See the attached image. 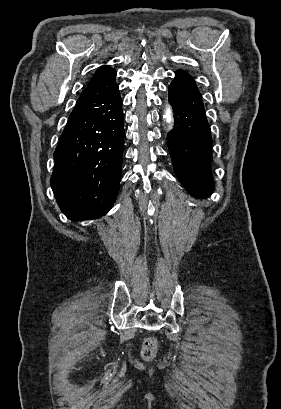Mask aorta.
<instances>
[{
    "instance_id": "762f6f07",
    "label": "aorta",
    "mask_w": 281,
    "mask_h": 409,
    "mask_svg": "<svg viewBox=\"0 0 281 409\" xmlns=\"http://www.w3.org/2000/svg\"><path fill=\"white\" fill-rule=\"evenodd\" d=\"M163 118L165 119V121H166L167 123H169V124L172 123V121H173V115H172V109H171V106H170V105H168V106L166 107L165 114H164Z\"/></svg>"
}]
</instances>
